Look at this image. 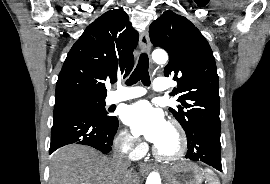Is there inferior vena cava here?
Wrapping results in <instances>:
<instances>
[{
  "instance_id": "obj_1",
  "label": "inferior vena cava",
  "mask_w": 270,
  "mask_h": 184,
  "mask_svg": "<svg viewBox=\"0 0 270 184\" xmlns=\"http://www.w3.org/2000/svg\"><path fill=\"white\" fill-rule=\"evenodd\" d=\"M122 145H123V142L115 144V153H114L112 163L116 167L126 170L130 162L128 161L126 154L122 152Z\"/></svg>"
}]
</instances>
